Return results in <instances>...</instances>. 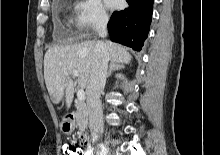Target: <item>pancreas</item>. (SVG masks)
<instances>
[{"mask_svg": "<svg viewBox=\"0 0 220 155\" xmlns=\"http://www.w3.org/2000/svg\"><path fill=\"white\" fill-rule=\"evenodd\" d=\"M76 123L79 127L80 132H83L88 126V110L84 102L79 101L76 104Z\"/></svg>", "mask_w": 220, "mask_h": 155, "instance_id": "1", "label": "pancreas"}]
</instances>
